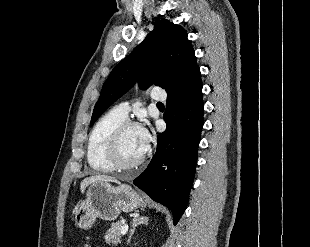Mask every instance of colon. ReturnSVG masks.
I'll use <instances>...</instances> for the list:
<instances>
[{
    "label": "colon",
    "instance_id": "5ec220e1",
    "mask_svg": "<svg viewBox=\"0 0 310 247\" xmlns=\"http://www.w3.org/2000/svg\"><path fill=\"white\" fill-rule=\"evenodd\" d=\"M84 247H91L89 243H86Z\"/></svg>",
    "mask_w": 310,
    "mask_h": 247
}]
</instances>
